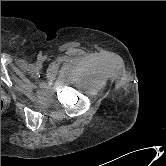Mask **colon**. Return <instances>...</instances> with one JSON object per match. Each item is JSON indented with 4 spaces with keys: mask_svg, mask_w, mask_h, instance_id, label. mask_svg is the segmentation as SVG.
<instances>
[{
    "mask_svg": "<svg viewBox=\"0 0 166 166\" xmlns=\"http://www.w3.org/2000/svg\"><path fill=\"white\" fill-rule=\"evenodd\" d=\"M3 108H4V102L3 100H1V112L3 111Z\"/></svg>",
    "mask_w": 166,
    "mask_h": 166,
    "instance_id": "5ec220e1",
    "label": "colon"
}]
</instances>
